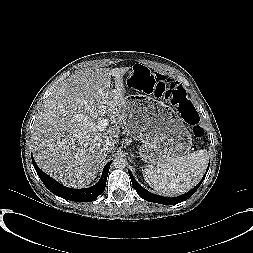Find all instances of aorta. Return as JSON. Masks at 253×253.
Instances as JSON below:
<instances>
[{
	"label": "aorta",
	"instance_id": "1",
	"mask_svg": "<svg viewBox=\"0 0 253 253\" xmlns=\"http://www.w3.org/2000/svg\"><path fill=\"white\" fill-rule=\"evenodd\" d=\"M127 165V161L125 158L123 157H116L114 160H113V166L117 169H123L125 168Z\"/></svg>",
	"mask_w": 253,
	"mask_h": 253
}]
</instances>
